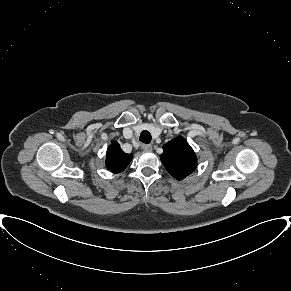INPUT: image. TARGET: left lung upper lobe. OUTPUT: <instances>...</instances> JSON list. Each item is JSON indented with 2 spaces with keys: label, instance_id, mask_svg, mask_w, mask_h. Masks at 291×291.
<instances>
[{
  "label": "left lung upper lobe",
  "instance_id": "5c2ea615",
  "mask_svg": "<svg viewBox=\"0 0 291 291\" xmlns=\"http://www.w3.org/2000/svg\"><path fill=\"white\" fill-rule=\"evenodd\" d=\"M160 159L166 170L176 179L182 180L197 166V157L187 140L179 136L163 146Z\"/></svg>",
  "mask_w": 291,
  "mask_h": 291
}]
</instances>
